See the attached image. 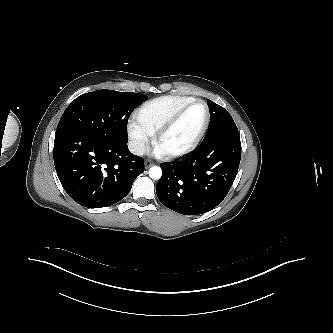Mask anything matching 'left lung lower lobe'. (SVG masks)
Instances as JSON below:
<instances>
[{"label": "left lung lower lobe", "mask_w": 333, "mask_h": 333, "mask_svg": "<svg viewBox=\"0 0 333 333\" xmlns=\"http://www.w3.org/2000/svg\"><path fill=\"white\" fill-rule=\"evenodd\" d=\"M241 158L237 135L203 141L184 161L162 165L156 193L163 205L184 215L206 213L228 194Z\"/></svg>", "instance_id": "1"}]
</instances>
